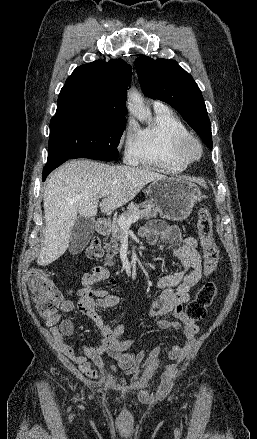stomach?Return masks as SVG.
I'll return each mask as SVG.
<instances>
[{
    "instance_id": "obj_1",
    "label": "stomach",
    "mask_w": 257,
    "mask_h": 439,
    "mask_svg": "<svg viewBox=\"0 0 257 439\" xmlns=\"http://www.w3.org/2000/svg\"><path fill=\"white\" fill-rule=\"evenodd\" d=\"M148 191L161 215L172 220L186 219L201 199L199 187L182 177L155 180L149 185Z\"/></svg>"
}]
</instances>
